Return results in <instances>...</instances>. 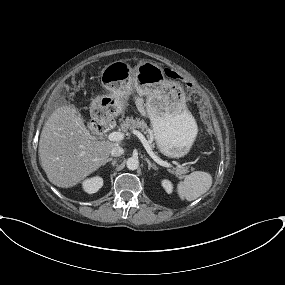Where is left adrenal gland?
<instances>
[{
    "mask_svg": "<svg viewBox=\"0 0 285 285\" xmlns=\"http://www.w3.org/2000/svg\"><path fill=\"white\" fill-rule=\"evenodd\" d=\"M145 160L148 163V170H150L151 168L154 169V170H157L156 165L152 164L151 161L148 158H146Z\"/></svg>",
    "mask_w": 285,
    "mask_h": 285,
    "instance_id": "left-adrenal-gland-1",
    "label": "left adrenal gland"
}]
</instances>
